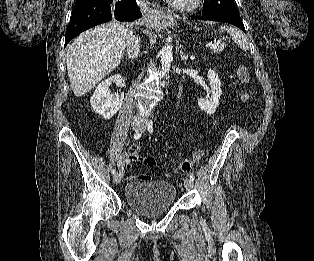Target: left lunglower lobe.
Segmentation results:
<instances>
[{
  "mask_svg": "<svg viewBox=\"0 0 314 261\" xmlns=\"http://www.w3.org/2000/svg\"><path fill=\"white\" fill-rule=\"evenodd\" d=\"M191 19L225 22V23L235 25L238 28L242 29L244 32H246L240 16H208V15L202 14V16H193L191 17Z\"/></svg>",
  "mask_w": 314,
  "mask_h": 261,
  "instance_id": "left-lung-lower-lobe-1",
  "label": "left lung lower lobe"
}]
</instances>
